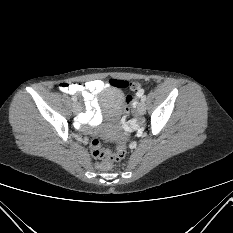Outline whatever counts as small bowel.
<instances>
[{
	"label": "small bowel",
	"mask_w": 233,
	"mask_h": 233,
	"mask_svg": "<svg viewBox=\"0 0 233 233\" xmlns=\"http://www.w3.org/2000/svg\"><path fill=\"white\" fill-rule=\"evenodd\" d=\"M108 87V84L101 80H92L85 83H61L59 89L71 95L80 94L83 97L85 110L78 117V125L81 129L87 125L95 126L101 120V112L95 95ZM143 91L139 89L137 95L141 96Z\"/></svg>",
	"instance_id": "c3829d8e"
}]
</instances>
